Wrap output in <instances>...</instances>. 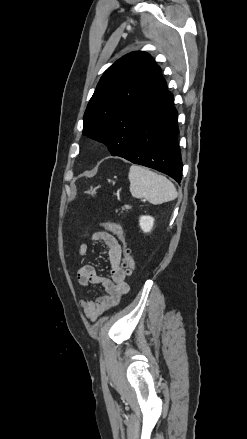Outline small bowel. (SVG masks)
<instances>
[{
	"label": "small bowel",
	"instance_id": "small-bowel-1",
	"mask_svg": "<svg viewBox=\"0 0 247 439\" xmlns=\"http://www.w3.org/2000/svg\"><path fill=\"white\" fill-rule=\"evenodd\" d=\"M90 237L92 240L104 242L111 275L110 278L99 276L94 266L90 264L82 266L77 273L78 282L82 286L101 285L106 292L96 300L84 299L80 302L84 314L90 320H96L105 311L118 304L120 298L129 292V286L125 281L127 274L122 264V247L117 238L107 229L93 232ZM78 254L82 257L88 254L86 243L79 245Z\"/></svg>",
	"mask_w": 247,
	"mask_h": 439
}]
</instances>
